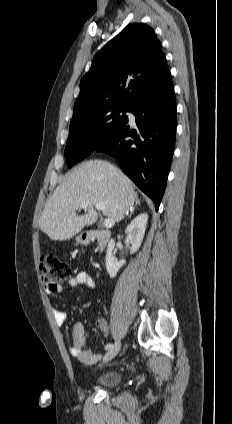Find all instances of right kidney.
<instances>
[{
    "instance_id": "obj_1",
    "label": "right kidney",
    "mask_w": 232,
    "mask_h": 424,
    "mask_svg": "<svg viewBox=\"0 0 232 424\" xmlns=\"http://www.w3.org/2000/svg\"><path fill=\"white\" fill-rule=\"evenodd\" d=\"M147 220L148 214L141 213L127 226L125 233L127 234V239L131 243L130 254H134L141 246L147 226ZM114 247L115 241L112 239L107 247L105 262L107 272L111 278H114L119 269L126 263L124 259L118 261L115 258L113 254Z\"/></svg>"
}]
</instances>
